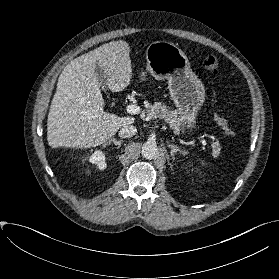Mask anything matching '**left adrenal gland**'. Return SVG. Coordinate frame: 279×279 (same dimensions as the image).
<instances>
[{
    "mask_svg": "<svg viewBox=\"0 0 279 279\" xmlns=\"http://www.w3.org/2000/svg\"><path fill=\"white\" fill-rule=\"evenodd\" d=\"M167 145H168V147L171 149V155L172 156H174V154L175 153H177V152H179V153H181V154H183V155H185L186 154V151L185 150H181L179 147H177L176 145H174V144H169V143H167ZM175 158L173 157V160H174Z\"/></svg>",
    "mask_w": 279,
    "mask_h": 279,
    "instance_id": "left-adrenal-gland-1",
    "label": "left adrenal gland"
}]
</instances>
